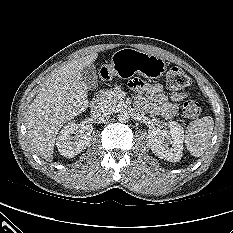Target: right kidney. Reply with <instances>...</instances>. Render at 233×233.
<instances>
[{
    "mask_svg": "<svg viewBox=\"0 0 233 233\" xmlns=\"http://www.w3.org/2000/svg\"><path fill=\"white\" fill-rule=\"evenodd\" d=\"M92 131L93 126L91 123L81 122L77 124L69 122L57 137L58 151L67 158L76 156L89 145Z\"/></svg>",
    "mask_w": 233,
    "mask_h": 233,
    "instance_id": "ca27d5eb",
    "label": "right kidney"
}]
</instances>
